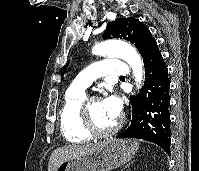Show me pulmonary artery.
I'll return each instance as SVG.
<instances>
[{"label":"pulmonary artery","instance_id":"obj_1","mask_svg":"<svg viewBox=\"0 0 199 171\" xmlns=\"http://www.w3.org/2000/svg\"><path fill=\"white\" fill-rule=\"evenodd\" d=\"M129 68L126 63L115 60L105 59L97 61L85 68L69 87L78 91H85L93 80L102 76H123L128 74Z\"/></svg>","mask_w":199,"mask_h":171}]
</instances>
